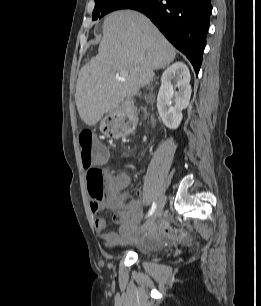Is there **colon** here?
I'll use <instances>...</instances> for the list:
<instances>
[{
  "label": "colon",
  "mask_w": 261,
  "mask_h": 306,
  "mask_svg": "<svg viewBox=\"0 0 261 306\" xmlns=\"http://www.w3.org/2000/svg\"><path fill=\"white\" fill-rule=\"evenodd\" d=\"M141 114V111L137 108H129L127 115L117 117V121L122 127H125L129 120L137 118ZM94 134L91 131H82L79 135V146L81 153V161L83 167L87 170L88 189L90 195L98 199L106 188V178L104 171L95 166V160H104L107 157V150L103 147L95 148L93 143ZM164 232L174 238H180L182 232L169 228L166 221L162 223Z\"/></svg>",
  "instance_id": "1"
}]
</instances>
